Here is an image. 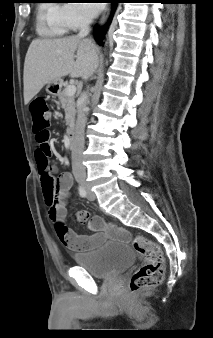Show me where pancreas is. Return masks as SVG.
<instances>
[{
  "label": "pancreas",
  "mask_w": 213,
  "mask_h": 338,
  "mask_svg": "<svg viewBox=\"0 0 213 338\" xmlns=\"http://www.w3.org/2000/svg\"><path fill=\"white\" fill-rule=\"evenodd\" d=\"M59 102L62 105V108L65 112L66 125L68 126V131L73 128L75 123L76 115V104L75 96H68L65 93V89L58 93Z\"/></svg>",
  "instance_id": "cf45deb5"
}]
</instances>
